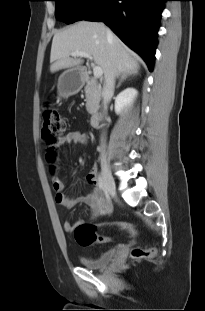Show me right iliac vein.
<instances>
[{
  "label": "right iliac vein",
  "instance_id": "63e3f726",
  "mask_svg": "<svg viewBox=\"0 0 205 311\" xmlns=\"http://www.w3.org/2000/svg\"><path fill=\"white\" fill-rule=\"evenodd\" d=\"M101 164H102V177L105 189L111 196H115L116 195L115 182L104 155L101 156Z\"/></svg>",
  "mask_w": 205,
  "mask_h": 311
}]
</instances>
